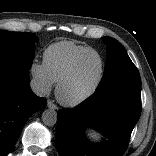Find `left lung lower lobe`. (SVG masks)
Returning a JSON list of instances; mask_svg holds the SVG:
<instances>
[{
    "instance_id": "obj_1",
    "label": "left lung lower lobe",
    "mask_w": 156,
    "mask_h": 156,
    "mask_svg": "<svg viewBox=\"0 0 156 156\" xmlns=\"http://www.w3.org/2000/svg\"><path fill=\"white\" fill-rule=\"evenodd\" d=\"M141 113V89L110 87L73 109L58 112L56 148L60 156H121ZM105 131L101 144L83 137V128Z\"/></svg>"
}]
</instances>
